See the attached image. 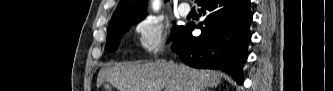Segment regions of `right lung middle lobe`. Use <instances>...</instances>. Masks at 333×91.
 Returning a JSON list of instances; mask_svg holds the SVG:
<instances>
[{
	"label": "right lung middle lobe",
	"instance_id": "1",
	"mask_svg": "<svg viewBox=\"0 0 333 91\" xmlns=\"http://www.w3.org/2000/svg\"><path fill=\"white\" fill-rule=\"evenodd\" d=\"M145 17L146 16H139V17L127 18L119 21L110 22L108 26L107 42L105 49L109 52L115 51L124 33L127 32L132 25L137 24ZM182 29L183 26H174L171 38H175Z\"/></svg>",
	"mask_w": 333,
	"mask_h": 91
}]
</instances>
